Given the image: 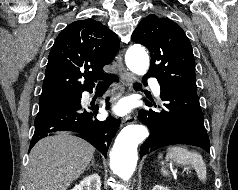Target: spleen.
<instances>
[{"label":"spleen","instance_id":"1","mask_svg":"<svg viewBox=\"0 0 238 190\" xmlns=\"http://www.w3.org/2000/svg\"><path fill=\"white\" fill-rule=\"evenodd\" d=\"M159 158H162V154H159ZM166 159L175 162L180 165H191L198 178L202 181H206V165L202 159V156L197 152L189 151L182 146H174L167 149ZM161 172L164 176H168V170L162 167Z\"/></svg>","mask_w":238,"mask_h":190}]
</instances>
